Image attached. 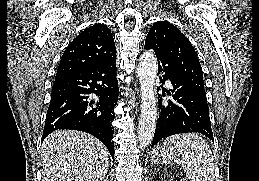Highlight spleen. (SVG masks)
Wrapping results in <instances>:
<instances>
[{
    "label": "spleen",
    "instance_id": "3e777b00",
    "mask_svg": "<svg viewBox=\"0 0 259 181\" xmlns=\"http://www.w3.org/2000/svg\"><path fill=\"white\" fill-rule=\"evenodd\" d=\"M163 144H172L177 148L182 156L184 173L191 181H214L210 146L198 134H176L168 137Z\"/></svg>",
    "mask_w": 259,
    "mask_h": 181
}]
</instances>
